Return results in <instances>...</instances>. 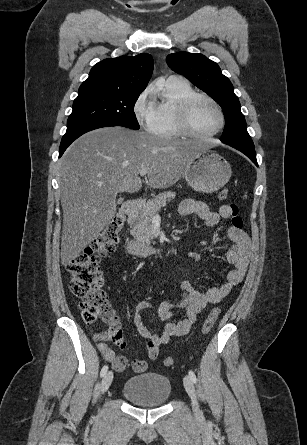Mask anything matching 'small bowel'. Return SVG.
<instances>
[{
    "instance_id": "c3829d8e",
    "label": "small bowel",
    "mask_w": 307,
    "mask_h": 445,
    "mask_svg": "<svg viewBox=\"0 0 307 445\" xmlns=\"http://www.w3.org/2000/svg\"><path fill=\"white\" fill-rule=\"evenodd\" d=\"M179 213L183 216L196 215L208 227H214L221 220L231 219L232 217L229 205H223L217 212H214L204 203L192 199L182 201L179 206ZM227 237L232 244L227 250L226 257L234 268L228 273L226 281L205 291L197 289L189 281H183L181 283V299L176 302L164 301L158 306V315L161 320L166 322L162 333L150 329L143 321L142 311L151 308L152 303L143 300L137 304L133 315V323L139 335L146 340L147 354L150 359L155 360L158 357L160 346L167 343L170 338L186 335L208 304L219 303L231 292L235 285L243 280L252 253L250 238L245 231L234 227L228 230ZM176 310L183 311V316L179 319L175 318ZM95 338L104 359L109 361L116 371L125 370L128 365L127 358L117 355L107 344L102 342L108 339V332L98 333ZM119 347L124 348L125 343ZM131 365L136 373L144 372L147 368L146 361L142 359L133 360Z\"/></svg>"
}]
</instances>
